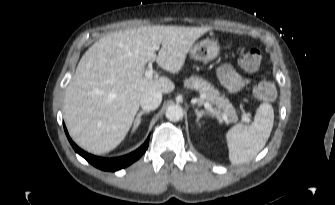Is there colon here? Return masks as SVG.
<instances>
[{
  "mask_svg": "<svg viewBox=\"0 0 335 205\" xmlns=\"http://www.w3.org/2000/svg\"><path fill=\"white\" fill-rule=\"evenodd\" d=\"M239 63L246 72H257L261 63L260 51L253 47L240 49ZM253 93L255 97L261 101H270L275 98L276 89L272 81L262 80L254 86Z\"/></svg>",
  "mask_w": 335,
  "mask_h": 205,
  "instance_id": "obj_1",
  "label": "colon"
}]
</instances>
